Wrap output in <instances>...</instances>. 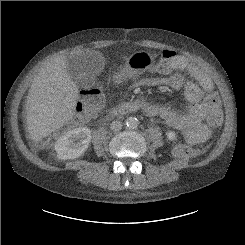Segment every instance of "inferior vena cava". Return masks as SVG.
<instances>
[{
  "label": "inferior vena cava",
  "mask_w": 245,
  "mask_h": 245,
  "mask_svg": "<svg viewBox=\"0 0 245 245\" xmlns=\"http://www.w3.org/2000/svg\"><path fill=\"white\" fill-rule=\"evenodd\" d=\"M110 128L114 132H118L122 129V122L119 120L113 121L110 125Z\"/></svg>",
  "instance_id": "obj_1"
}]
</instances>
